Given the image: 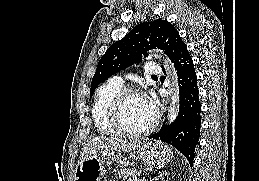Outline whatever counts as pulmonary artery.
I'll return each instance as SVG.
<instances>
[{
    "label": "pulmonary artery",
    "mask_w": 259,
    "mask_h": 181,
    "mask_svg": "<svg viewBox=\"0 0 259 181\" xmlns=\"http://www.w3.org/2000/svg\"><path fill=\"white\" fill-rule=\"evenodd\" d=\"M145 71L148 75H155V74L161 72V67L159 65L154 64V63H148ZM111 81L114 82L115 84L120 85V86H123V84H124L123 79L118 77V76L113 77L111 79Z\"/></svg>",
    "instance_id": "pulmonary-artery-1"
}]
</instances>
